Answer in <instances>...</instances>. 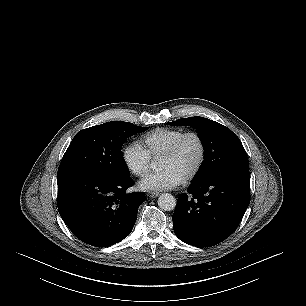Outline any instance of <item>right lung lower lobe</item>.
<instances>
[{
	"mask_svg": "<svg viewBox=\"0 0 306 306\" xmlns=\"http://www.w3.org/2000/svg\"><path fill=\"white\" fill-rule=\"evenodd\" d=\"M130 176L86 175L58 185V210L82 242L107 247L132 231L145 194H127L133 185Z\"/></svg>",
	"mask_w": 306,
	"mask_h": 306,
	"instance_id": "obj_1",
	"label": "right lung lower lobe"
}]
</instances>
